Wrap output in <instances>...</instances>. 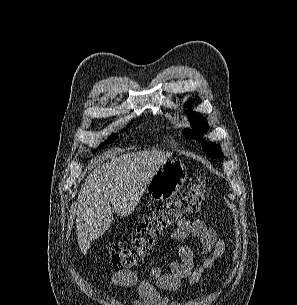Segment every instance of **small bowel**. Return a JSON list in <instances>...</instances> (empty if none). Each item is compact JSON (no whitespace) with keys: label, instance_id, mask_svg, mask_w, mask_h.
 I'll list each match as a JSON object with an SVG mask.
<instances>
[{"label":"small bowel","instance_id":"1","mask_svg":"<svg viewBox=\"0 0 297 305\" xmlns=\"http://www.w3.org/2000/svg\"><path fill=\"white\" fill-rule=\"evenodd\" d=\"M171 237L179 242L187 238L194 239L197 251L206 258L195 267L194 249L182 244L178 248V257L167 260L166 269L152 261L149 277H141L129 270L114 272L111 277L114 287L138 291L139 296L131 298L133 305H168L169 300L159 290L176 291L184 280L191 286L198 284L203 274L214 266L226 249L224 240L218 238L216 231L199 218H183L178 221Z\"/></svg>","mask_w":297,"mask_h":305}]
</instances>
